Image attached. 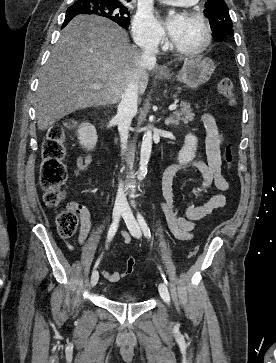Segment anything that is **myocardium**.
Returning a JSON list of instances; mask_svg holds the SVG:
<instances>
[{
  "label": "myocardium",
  "instance_id": "f54148a6",
  "mask_svg": "<svg viewBox=\"0 0 276 363\" xmlns=\"http://www.w3.org/2000/svg\"><path fill=\"white\" fill-rule=\"evenodd\" d=\"M186 16L190 17L192 19H195L202 24V26L204 28V32H205V37H204L203 43L197 48L186 49V48H182V47L178 46L174 42V40H172L171 48L173 51H175L176 53H178L181 56H199L208 49V47L210 46V44L212 42L211 27H210L208 19L202 13H200L196 10L191 9V10L187 11Z\"/></svg>",
  "mask_w": 276,
  "mask_h": 363
}]
</instances>
